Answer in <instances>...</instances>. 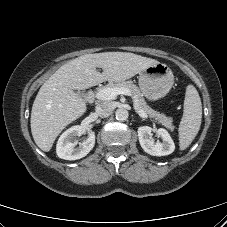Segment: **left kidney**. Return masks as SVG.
<instances>
[{
	"label": "left kidney",
	"instance_id": "1",
	"mask_svg": "<svg viewBox=\"0 0 227 227\" xmlns=\"http://www.w3.org/2000/svg\"><path fill=\"white\" fill-rule=\"evenodd\" d=\"M153 129L149 126H141L138 128L139 142L143 150L152 156H165L171 154L175 145L167 130L160 128L156 130L158 137L162 139V142L156 143L152 139Z\"/></svg>",
	"mask_w": 227,
	"mask_h": 227
}]
</instances>
